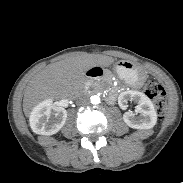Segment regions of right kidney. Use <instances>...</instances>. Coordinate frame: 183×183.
<instances>
[{"instance_id":"obj_1","label":"right kidney","mask_w":183,"mask_h":183,"mask_svg":"<svg viewBox=\"0 0 183 183\" xmlns=\"http://www.w3.org/2000/svg\"><path fill=\"white\" fill-rule=\"evenodd\" d=\"M67 111L46 99L39 103L30 114V126L33 132L41 135L56 134L65 124Z\"/></svg>"}]
</instances>
